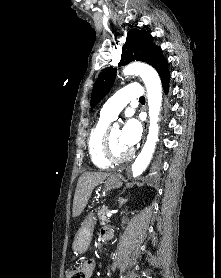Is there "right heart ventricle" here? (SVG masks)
Returning <instances> with one entry per match:
<instances>
[{
    "label": "right heart ventricle",
    "mask_w": 221,
    "mask_h": 278,
    "mask_svg": "<svg viewBox=\"0 0 221 278\" xmlns=\"http://www.w3.org/2000/svg\"><path fill=\"white\" fill-rule=\"evenodd\" d=\"M110 122L109 119L104 118L101 116L96 124L90 131L87 146L88 152L91 158L92 163L99 167V168H107L109 167L110 163L104 160L101 155V142L102 137L107 130L108 123Z\"/></svg>",
    "instance_id": "obj_1"
}]
</instances>
